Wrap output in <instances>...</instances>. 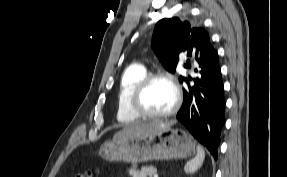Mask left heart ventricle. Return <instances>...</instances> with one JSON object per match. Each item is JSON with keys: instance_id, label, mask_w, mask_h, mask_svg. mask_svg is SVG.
Returning <instances> with one entry per match:
<instances>
[{"instance_id": "left-heart-ventricle-1", "label": "left heart ventricle", "mask_w": 287, "mask_h": 177, "mask_svg": "<svg viewBox=\"0 0 287 177\" xmlns=\"http://www.w3.org/2000/svg\"><path fill=\"white\" fill-rule=\"evenodd\" d=\"M174 103V92L165 81L152 82L145 90L142 99V107L151 113H163L168 111Z\"/></svg>"}]
</instances>
